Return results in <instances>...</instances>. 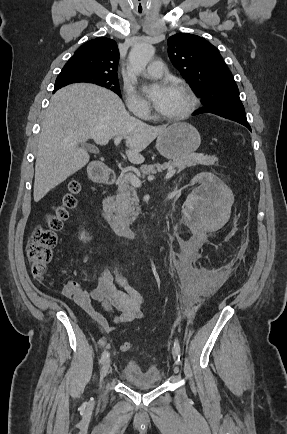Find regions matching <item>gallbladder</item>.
<instances>
[{
	"instance_id": "obj_1",
	"label": "gallbladder",
	"mask_w": 287,
	"mask_h": 434,
	"mask_svg": "<svg viewBox=\"0 0 287 434\" xmlns=\"http://www.w3.org/2000/svg\"><path fill=\"white\" fill-rule=\"evenodd\" d=\"M81 146H82L83 148H85V149L90 150V151H94V150H95L94 147H92V146H90V145H88V144H81Z\"/></svg>"
}]
</instances>
